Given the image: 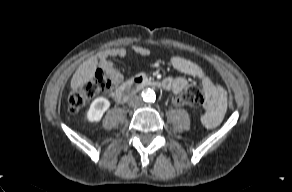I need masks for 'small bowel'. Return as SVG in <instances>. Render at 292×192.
I'll use <instances>...</instances> for the list:
<instances>
[{
	"instance_id": "small-bowel-1",
	"label": "small bowel",
	"mask_w": 292,
	"mask_h": 192,
	"mask_svg": "<svg viewBox=\"0 0 292 192\" xmlns=\"http://www.w3.org/2000/svg\"><path fill=\"white\" fill-rule=\"evenodd\" d=\"M132 50L141 56L150 54L149 49L142 46H135ZM126 54L127 51L124 48H112L104 53L99 62V66L112 79L114 89L111 92V96L117 101L124 84V77L116 69L110 58H123ZM170 62L177 71L200 81L205 94V112L201 116V121L208 128L217 126L227 109L226 90L209 77L198 64L181 56H173ZM163 87L168 91L179 94L188 87V81L183 77H167L163 81Z\"/></svg>"
}]
</instances>
